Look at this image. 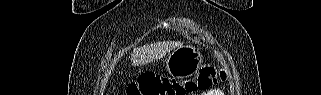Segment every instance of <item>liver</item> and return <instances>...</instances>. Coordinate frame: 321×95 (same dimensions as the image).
Masks as SVG:
<instances>
[{
	"mask_svg": "<svg viewBox=\"0 0 321 95\" xmlns=\"http://www.w3.org/2000/svg\"><path fill=\"white\" fill-rule=\"evenodd\" d=\"M183 46L180 41H163L143 47L134 48L131 54V63L133 66L145 65L153 60L160 59L173 49Z\"/></svg>",
	"mask_w": 321,
	"mask_h": 95,
	"instance_id": "obj_1",
	"label": "liver"
}]
</instances>
